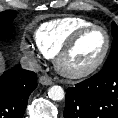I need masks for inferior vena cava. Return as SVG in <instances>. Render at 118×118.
Wrapping results in <instances>:
<instances>
[{
  "instance_id": "obj_1",
  "label": "inferior vena cava",
  "mask_w": 118,
  "mask_h": 118,
  "mask_svg": "<svg viewBox=\"0 0 118 118\" xmlns=\"http://www.w3.org/2000/svg\"><path fill=\"white\" fill-rule=\"evenodd\" d=\"M23 69L37 71L39 69V64L35 57L24 56L20 60Z\"/></svg>"
}]
</instances>
